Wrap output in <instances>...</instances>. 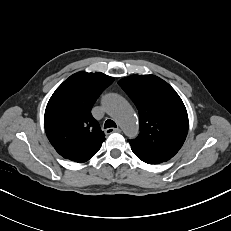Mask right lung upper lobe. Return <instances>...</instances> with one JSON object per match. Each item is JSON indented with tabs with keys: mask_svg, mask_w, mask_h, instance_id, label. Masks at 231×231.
<instances>
[{
	"mask_svg": "<svg viewBox=\"0 0 231 231\" xmlns=\"http://www.w3.org/2000/svg\"><path fill=\"white\" fill-rule=\"evenodd\" d=\"M114 79L103 73L78 72L66 79L51 96L44 116L46 135L65 159L85 162L105 140L91 108Z\"/></svg>",
	"mask_w": 231,
	"mask_h": 231,
	"instance_id": "cb5924a9",
	"label": "right lung upper lobe"
}]
</instances>
